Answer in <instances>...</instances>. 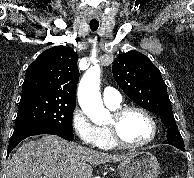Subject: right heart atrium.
Masks as SVG:
<instances>
[{
    "label": "right heart atrium",
    "instance_id": "d8ad5b80",
    "mask_svg": "<svg viewBox=\"0 0 194 178\" xmlns=\"http://www.w3.org/2000/svg\"><path fill=\"white\" fill-rule=\"evenodd\" d=\"M71 125L81 143L88 146L97 145L99 141V129L81 108H76L73 111Z\"/></svg>",
    "mask_w": 194,
    "mask_h": 178
}]
</instances>
